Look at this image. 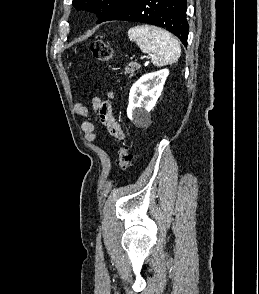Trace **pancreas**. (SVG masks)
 <instances>
[{
	"label": "pancreas",
	"instance_id": "cf45deb5",
	"mask_svg": "<svg viewBox=\"0 0 259 294\" xmlns=\"http://www.w3.org/2000/svg\"><path fill=\"white\" fill-rule=\"evenodd\" d=\"M140 68V65L137 62L129 63L128 67L125 69V74H129V77H132L136 70Z\"/></svg>",
	"mask_w": 259,
	"mask_h": 294
}]
</instances>
